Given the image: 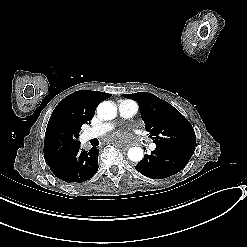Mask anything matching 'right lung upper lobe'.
<instances>
[{
    "label": "right lung upper lobe",
    "mask_w": 247,
    "mask_h": 247,
    "mask_svg": "<svg viewBox=\"0 0 247 247\" xmlns=\"http://www.w3.org/2000/svg\"><path fill=\"white\" fill-rule=\"evenodd\" d=\"M110 97L99 91L80 90L56 106L49 119L44 141V154L60 142L76 140L83 124L93 117L97 105Z\"/></svg>",
    "instance_id": "obj_1"
}]
</instances>
